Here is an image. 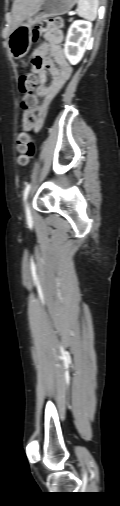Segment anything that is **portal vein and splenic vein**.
Wrapping results in <instances>:
<instances>
[{
  "instance_id": "portal-vein-and-splenic-vein-1",
  "label": "portal vein and splenic vein",
  "mask_w": 120,
  "mask_h": 506,
  "mask_svg": "<svg viewBox=\"0 0 120 506\" xmlns=\"http://www.w3.org/2000/svg\"><path fill=\"white\" fill-rule=\"evenodd\" d=\"M69 14H70V15H73V14H74V12H73V11H71Z\"/></svg>"
}]
</instances>
